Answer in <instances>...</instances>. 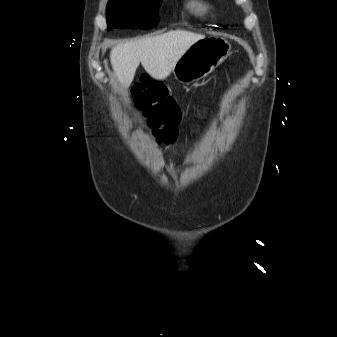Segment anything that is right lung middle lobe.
<instances>
[{
  "mask_svg": "<svg viewBox=\"0 0 337 337\" xmlns=\"http://www.w3.org/2000/svg\"><path fill=\"white\" fill-rule=\"evenodd\" d=\"M162 0H110L107 4L108 29H148L158 23V9Z\"/></svg>",
  "mask_w": 337,
  "mask_h": 337,
  "instance_id": "right-lung-middle-lobe-1",
  "label": "right lung middle lobe"
}]
</instances>
